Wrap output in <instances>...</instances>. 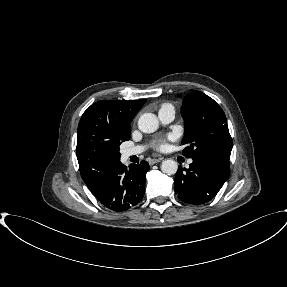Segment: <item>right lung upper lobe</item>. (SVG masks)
<instances>
[{
    "instance_id": "1",
    "label": "right lung upper lobe",
    "mask_w": 287,
    "mask_h": 287,
    "mask_svg": "<svg viewBox=\"0 0 287 287\" xmlns=\"http://www.w3.org/2000/svg\"><path fill=\"white\" fill-rule=\"evenodd\" d=\"M145 102L98 101L83 113L76 154L81 177L89 189L105 169L120 163L119 146L129 140L130 123Z\"/></svg>"
}]
</instances>
